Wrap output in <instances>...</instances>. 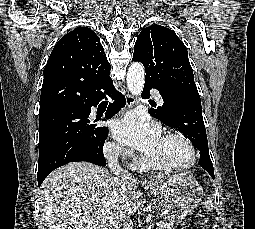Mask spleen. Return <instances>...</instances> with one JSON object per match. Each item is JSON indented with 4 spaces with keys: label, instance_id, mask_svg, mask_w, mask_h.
<instances>
[{
    "label": "spleen",
    "instance_id": "obj_1",
    "mask_svg": "<svg viewBox=\"0 0 255 229\" xmlns=\"http://www.w3.org/2000/svg\"><path fill=\"white\" fill-rule=\"evenodd\" d=\"M205 207L208 211H211L213 209V199L211 196H209L208 199L206 200Z\"/></svg>",
    "mask_w": 255,
    "mask_h": 229
}]
</instances>
